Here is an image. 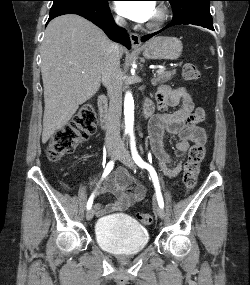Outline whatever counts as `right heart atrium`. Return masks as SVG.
Segmentation results:
<instances>
[{
  "mask_svg": "<svg viewBox=\"0 0 250 285\" xmlns=\"http://www.w3.org/2000/svg\"><path fill=\"white\" fill-rule=\"evenodd\" d=\"M114 20H115V22H116L117 24H123V23H124L123 18H122L119 14H116V15L114 16Z\"/></svg>",
  "mask_w": 250,
  "mask_h": 285,
  "instance_id": "right-heart-atrium-1",
  "label": "right heart atrium"
}]
</instances>
